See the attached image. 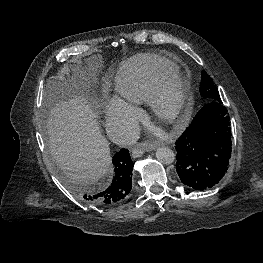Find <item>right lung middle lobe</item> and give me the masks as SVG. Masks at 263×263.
<instances>
[{
  "label": "right lung middle lobe",
  "instance_id": "obj_1",
  "mask_svg": "<svg viewBox=\"0 0 263 263\" xmlns=\"http://www.w3.org/2000/svg\"><path fill=\"white\" fill-rule=\"evenodd\" d=\"M76 192H78V194H80V195H82V190L81 189H79V187H76Z\"/></svg>",
  "mask_w": 263,
  "mask_h": 263
}]
</instances>
